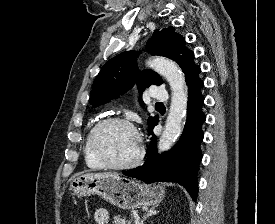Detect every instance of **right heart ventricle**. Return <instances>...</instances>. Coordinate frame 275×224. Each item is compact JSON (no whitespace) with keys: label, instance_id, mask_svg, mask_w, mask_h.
Listing matches in <instances>:
<instances>
[{"label":"right heart ventricle","instance_id":"1","mask_svg":"<svg viewBox=\"0 0 275 224\" xmlns=\"http://www.w3.org/2000/svg\"><path fill=\"white\" fill-rule=\"evenodd\" d=\"M96 123L92 124L85 136L84 144H83V153H84V160L86 166L91 170H101L104 166L99 162V160L94 156L90 147V134L93 127Z\"/></svg>","mask_w":275,"mask_h":224}]
</instances>
